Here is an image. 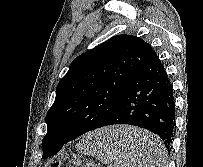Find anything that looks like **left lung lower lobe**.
<instances>
[{
    "label": "left lung lower lobe",
    "mask_w": 203,
    "mask_h": 167,
    "mask_svg": "<svg viewBox=\"0 0 203 167\" xmlns=\"http://www.w3.org/2000/svg\"><path fill=\"white\" fill-rule=\"evenodd\" d=\"M115 124L145 128L157 134L169 151L175 125V99L173 86L155 52L135 73L115 111L100 127ZM63 144H53L49 156L55 155ZM119 144L125 145L110 139L108 146L112 148Z\"/></svg>",
    "instance_id": "obj_1"
}]
</instances>
